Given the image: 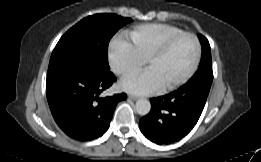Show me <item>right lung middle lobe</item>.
Masks as SVG:
<instances>
[{
  "label": "right lung middle lobe",
  "mask_w": 261,
  "mask_h": 162,
  "mask_svg": "<svg viewBox=\"0 0 261 162\" xmlns=\"http://www.w3.org/2000/svg\"><path fill=\"white\" fill-rule=\"evenodd\" d=\"M131 21L108 13L82 19L61 37L52 52L48 69L67 62L87 61L109 70V41L119 28Z\"/></svg>",
  "instance_id": "obj_1"
}]
</instances>
